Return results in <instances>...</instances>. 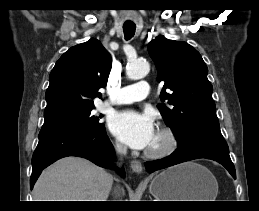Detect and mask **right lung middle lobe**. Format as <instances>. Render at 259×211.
I'll return each instance as SVG.
<instances>
[{"mask_svg": "<svg viewBox=\"0 0 259 211\" xmlns=\"http://www.w3.org/2000/svg\"><path fill=\"white\" fill-rule=\"evenodd\" d=\"M91 111L92 109H89L59 121L44 123L42 129L67 127L83 130H98L105 127L103 123L99 122V118H101V116H94Z\"/></svg>", "mask_w": 259, "mask_h": 211, "instance_id": "obj_1", "label": "right lung middle lobe"}]
</instances>
